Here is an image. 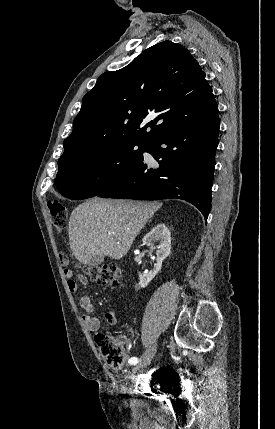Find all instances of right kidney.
I'll return each mask as SVG.
<instances>
[{"label": "right kidney", "mask_w": 275, "mask_h": 429, "mask_svg": "<svg viewBox=\"0 0 275 429\" xmlns=\"http://www.w3.org/2000/svg\"><path fill=\"white\" fill-rule=\"evenodd\" d=\"M143 244L153 246L156 242H159L156 251V264L154 268L145 273L139 274V285L141 288H145L150 281L157 275L162 267V262L168 257L171 250V236L170 230L165 224H158L149 233H147L142 239Z\"/></svg>", "instance_id": "right-kidney-1"}]
</instances>
